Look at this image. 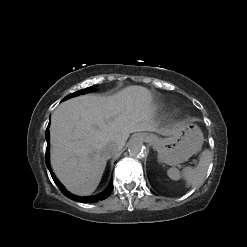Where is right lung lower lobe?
I'll return each instance as SVG.
<instances>
[{"instance_id":"obj_1","label":"right lung lower lobe","mask_w":247,"mask_h":247,"mask_svg":"<svg viewBox=\"0 0 247 247\" xmlns=\"http://www.w3.org/2000/svg\"><path fill=\"white\" fill-rule=\"evenodd\" d=\"M49 127V125H48ZM48 127L46 129V141H47V149H46V158H45V162H46V166L49 169L52 179L55 182V184L58 186V188L61 190V192L67 196L68 198L77 201V202H82V203H94L97 202L99 200H104L106 199L112 192L113 190V180L111 178L110 184L107 187V189L105 191H103L102 193L95 195V196H90V197H78L75 196L73 194H71L70 192H68L63 185L57 180V178L55 177V175L53 174L51 168H50V163H49V130Z\"/></svg>"}]
</instances>
